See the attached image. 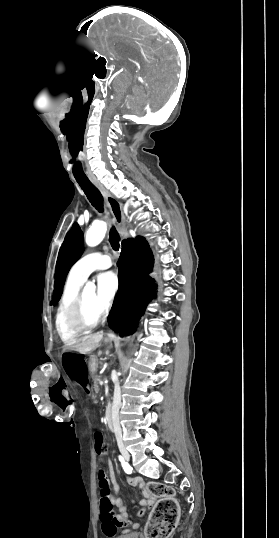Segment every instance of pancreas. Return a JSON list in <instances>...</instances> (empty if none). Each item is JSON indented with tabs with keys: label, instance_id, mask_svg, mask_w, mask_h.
I'll return each mask as SVG.
<instances>
[{
	"label": "pancreas",
	"instance_id": "cf45deb5",
	"mask_svg": "<svg viewBox=\"0 0 279 538\" xmlns=\"http://www.w3.org/2000/svg\"><path fill=\"white\" fill-rule=\"evenodd\" d=\"M100 380V376H94L93 378V382H94V390H95V394H97L98 390H99V386H98V382Z\"/></svg>",
	"mask_w": 279,
	"mask_h": 538
}]
</instances>
